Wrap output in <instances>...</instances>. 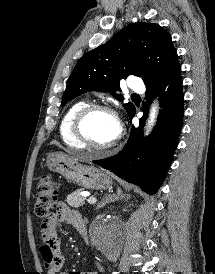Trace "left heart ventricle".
I'll return each instance as SVG.
<instances>
[{
	"instance_id": "1",
	"label": "left heart ventricle",
	"mask_w": 215,
	"mask_h": 274,
	"mask_svg": "<svg viewBox=\"0 0 215 274\" xmlns=\"http://www.w3.org/2000/svg\"><path fill=\"white\" fill-rule=\"evenodd\" d=\"M85 131L94 143L103 145L117 137L119 123L113 115L99 111L88 118L85 123Z\"/></svg>"
}]
</instances>
